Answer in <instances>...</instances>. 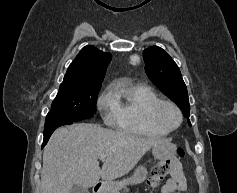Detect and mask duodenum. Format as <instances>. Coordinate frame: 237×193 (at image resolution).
<instances>
[{
  "label": "duodenum",
  "mask_w": 237,
  "mask_h": 193,
  "mask_svg": "<svg viewBox=\"0 0 237 193\" xmlns=\"http://www.w3.org/2000/svg\"><path fill=\"white\" fill-rule=\"evenodd\" d=\"M94 190H95V193H103V191H104V185H103L102 183H97V184L95 185Z\"/></svg>",
  "instance_id": "410a0bca"
}]
</instances>
